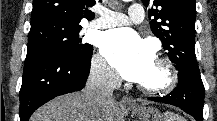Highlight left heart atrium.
Instances as JSON below:
<instances>
[{
    "mask_svg": "<svg viewBox=\"0 0 217 121\" xmlns=\"http://www.w3.org/2000/svg\"><path fill=\"white\" fill-rule=\"evenodd\" d=\"M101 52L125 79L141 82L154 64V51L134 31L120 28L106 32Z\"/></svg>",
    "mask_w": 217,
    "mask_h": 121,
    "instance_id": "left-heart-atrium-1",
    "label": "left heart atrium"
}]
</instances>
